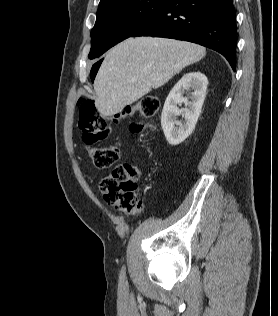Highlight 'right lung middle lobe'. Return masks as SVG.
<instances>
[{
    "label": "right lung middle lobe",
    "mask_w": 278,
    "mask_h": 316,
    "mask_svg": "<svg viewBox=\"0 0 278 316\" xmlns=\"http://www.w3.org/2000/svg\"><path fill=\"white\" fill-rule=\"evenodd\" d=\"M166 0H107L99 4L95 26L91 31L89 58L102 55L112 46L131 37L163 6ZM97 69L92 68L91 77Z\"/></svg>",
    "instance_id": "dd1d6c3e"
}]
</instances>
